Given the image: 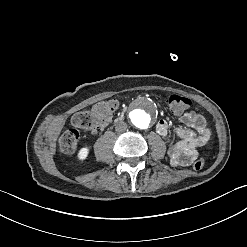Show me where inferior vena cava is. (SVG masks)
Here are the masks:
<instances>
[{
	"mask_svg": "<svg viewBox=\"0 0 247 247\" xmlns=\"http://www.w3.org/2000/svg\"><path fill=\"white\" fill-rule=\"evenodd\" d=\"M127 129V124L125 122H118L115 126L117 132H124Z\"/></svg>",
	"mask_w": 247,
	"mask_h": 247,
	"instance_id": "602c4592",
	"label": "inferior vena cava"
}]
</instances>
